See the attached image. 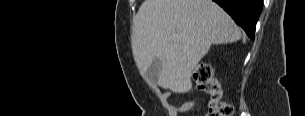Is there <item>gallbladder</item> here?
Listing matches in <instances>:
<instances>
[{
	"label": "gallbladder",
	"instance_id": "bac80fb5",
	"mask_svg": "<svg viewBox=\"0 0 305 116\" xmlns=\"http://www.w3.org/2000/svg\"><path fill=\"white\" fill-rule=\"evenodd\" d=\"M162 63L158 58H155L151 65L148 67L147 71L145 72L144 76L145 78L153 83L157 84L158 75L161 71Z\"/></svg>",
	"mask_w": 305,
	"mask_h": 116
}]
</instances>
